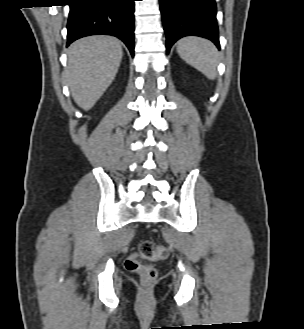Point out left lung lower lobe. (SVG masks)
Masks as SVG:
<instances>
[{"instance_id":"left-lung-lower-lobe-1","label":"left lung lower lobe","mask_w":304,"mask_h":329,"mask_svg":"<svg viewBox=\"0 0 304 329\" xmlns=\"http://www.w3.org/2000/svg\"><path fill=\"white\" fill-rule=\"evenodd\" d=\"M167 53L184 36H200L219 48L215 0H159Z\"/></svg>"}]
</instances>
